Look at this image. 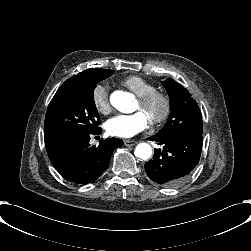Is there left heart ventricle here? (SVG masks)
I'll return each instance as SVG.
<instances>
[{
    "instance_id": "b2bd125f",
    "label": "left heart ventricle",
    "mask_w": 251,
    "mask_h": 251,
    "mask_svg": "<svg viewBox=\"0 0 251 251\" xmlns=\"http://www.w3.org/2000/svg\"><path fill=\"white\" fill-rule=\"evenodd\" d=\"M137 108L145 110L150 116L151 113H159L162 110V104L161 102L157 101L152 107H146L138 100Z\"/></svg>"
}]
</instances>
